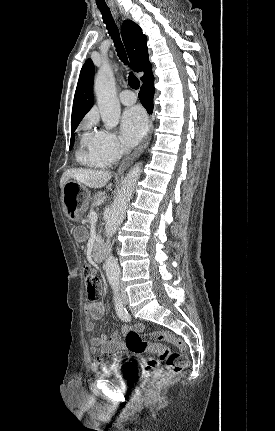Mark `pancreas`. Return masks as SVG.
<instances>
[{
    "label": "pancreas",
    "instance_id": "pancreas-1",
    "mask_svg": "<svg viewBox=\"0 0 275 431\" xmlns=\"http://www.w3.org/2000/svg\"><path fill=\"white\" fill-rule=\"evenodd\" d=\"M102 200H103V193L101 192L96 193L94 195L90 211L92 212L94 208H96L102 202Z\"/></svg>",
    "mask_w": 275,
    "mask_h": 431
}]
</instances>
